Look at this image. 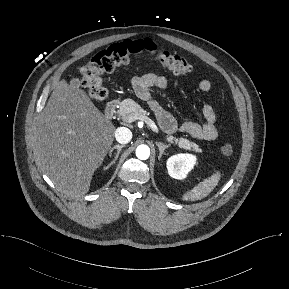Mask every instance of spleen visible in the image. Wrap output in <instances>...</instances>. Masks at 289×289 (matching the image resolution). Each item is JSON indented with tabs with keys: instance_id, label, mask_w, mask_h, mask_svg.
Here are the masks:
<instances>
[{
	"instance_id": "obj_1",
	"label": "spleen",
	"mask_w": 289,
	"mask_h": 289,
	"mask_svg": "<svg viewBox=\"0 0 289 289\" xmlns=\"http://www.w3.org/2000/svg\"><path fill=\"white\" fill-rule=\"evenodd\" d=\"M221 178V173L217 171L212 174L209 178L204 179L201 183L195 186L192 190L187 192L184 196V200H200L206 197L213 189L218 185Z\"/></svg>"
}]
</instances>
